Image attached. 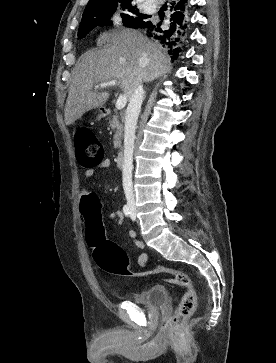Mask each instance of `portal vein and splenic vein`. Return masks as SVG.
Returning a JSON list of instances; mask_svg holds the SVG:
<instances>
[{"label":"portal vein and splenic vein","instance_id":"1","mask_svg":"<svg viewBox=\"0 0 276 363\" xmlns=\"http://www.w3.org/2000/svg\"><path fill=\"white\" fill-rule=\"evenodd\" d=\"M119 82L117 80H111V81H107V82H103L99 85H96L95 88L98 89V88H107V87H110V86H116L118 85ZM126 103H127V98L125 95H120L116 101V108L118 110H121L123 109L125 106H126Z\"/></svg>","mask_w":276,"mask_h":363}]
</instances>
